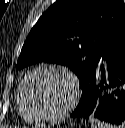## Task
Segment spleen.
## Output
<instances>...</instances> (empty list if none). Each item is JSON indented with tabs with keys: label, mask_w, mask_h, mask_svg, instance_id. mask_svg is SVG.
<instances>
[{
	"label": "spleen",
	"mask_w": 125,
	"mask_h": 128,
	"mask_svg": "<svg viewBox=\"0 0 125 128\" xmlns=\"http://www.w3.org/2000/svg\"><path fill=\"white\" fill-rule=\"evenodd\" d=\"M90 122H91V128H113L112 126L103 123L96 118H91Z\"/></svg>",
	"instance_id": "1"
}]
</instances>
